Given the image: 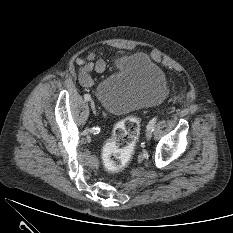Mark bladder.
I'll return each instance as SVG.
<instances>
[{"instance_id":"31cf9c89","label":"bladder","mask_w":233,"mask_h":233,"mask_svg":"<svg viewBox=\"0 0 233 233\" xmlns=\"http://www.w3.org/2000/svg\"><path fill=\"white\" fill-rule=\"evenodd\" d=\"M97 98L111 115H127L161 103L168 93L163 70L141 52L123 57L115 73L97 86Z\"/></svg>"}]
</instances>
